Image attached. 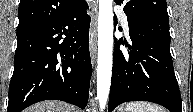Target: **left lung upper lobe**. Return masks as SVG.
<instances>
[{
    "label": "left lung upper lobe",
    "instance_id": "left-lung-upper-lobe-1",
    "mask_svg": "<svg viewBox=\"0 0 193 112\" xmlns=\"http://www.w3.org/2000/svg\"><path fill=\"white\" fill-rule=\"evenodd\" d=\"M116 4L124 6V12L129 22L150 19L154 17H168L166 0H114Z\"/></svg>",
    "mask_w": 193,
    "mask_h": 112
}]
</instances>
